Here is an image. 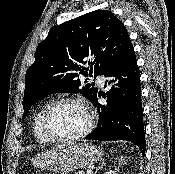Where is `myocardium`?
<instances>
[{
	"label": "myocardium",
	"instance_id": "1",
	"mask_svg": "<svg viewBox=\"0 0 175 174\" xmlns=\"http://www.w3.org/2000/svg\"><path fill=\"white\" fill-rule=\"evenodd\" d=\"M66 103H74V104H77L80 107H82V109L84 110V112L86 114L87 123H86L85 128L81 132H79L73 136L61 137V136L55 135L52 132V130L50 128V117H51L53 111L58 106H60L62 104H66ZM94 123H95V119H94V115H93V112H92L90 105L88 104V102L85 99H83L81 97H77V96H68V97H63V98H60L58 100H55L54 102H52L48 105V107L46 108V110L43 114V117H42V128H43L45 135L51 141L59 142V143L74 142V141H77V140L84 138L92 131V129L94 127Z\"/></svg>",
	"mask_w": 175,
	"mask_h": 174
}]
</instances>
